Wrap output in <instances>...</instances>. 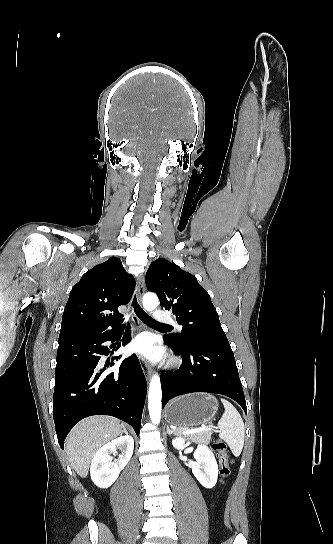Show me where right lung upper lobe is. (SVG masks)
Listing matches in <instances>:
<instances>
[{"instance_id": "1", "label": "right lung upper lobe", "mask_w": 333, "mask_h": 544, "mask_svg": "<svg viewBox=\"0 0 333 544\" xmlns=\"http://www.w3.org/2000/svg\"><path fill=\"white\" fill-rule=\"evenodd\" d=\"M135 287L119 258L111 257L87 271L72 288L63 312L59 343L116 329Z\"/></svg>"}]
</instances>
